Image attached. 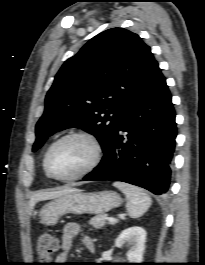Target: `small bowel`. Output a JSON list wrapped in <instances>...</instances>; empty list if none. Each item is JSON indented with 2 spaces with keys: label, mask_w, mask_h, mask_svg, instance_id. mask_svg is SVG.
I'll return each mask as SVG.
<instances>
[{
  "label": "small bowel",
  "mask_w": 205,
  "mask_h": 265,
  "mask_svg": "<svg viewBox=\"0 0 205 265\" xmlns=\"http://www.w3.org/2000/svg\"><path fill=\"white\" fill-rule=\"evenodd\" d=\"M80 231V226L77 223H68L65 225L60 242L61 252L56 257V264H64L67 260L68 253L73 246V241L79 235ZM82 241L89 252L94 251V243L89 236H84ZM91 249H93V251H91Z\"/></svg>",
  "instance_id": "c3829d8e"
}]
</instances>
